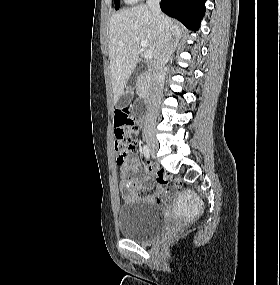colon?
<instances>
[{
    "mask_svg": "<svg viewBox=\"0 0 280 285\" xmlns=\"http://www.w3.org/2000/svg\"><path fill=\"white\" fill-rule=\"evenodd\" d=\"M137 127L134 121L129 116L128 109H118L115 112V148L118 153V163H123L130 153H133L137 148L135 134ZM156 181L160 185L172 184L175 187L179 186V182L171 179L169 175L159 170L155 174Z\"/></svg>",
    "mask_w": 280,
    "mask_h": 285,
    "instance_id": "obj_1",
    "label": "colon"
}]
</instances>
